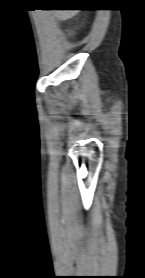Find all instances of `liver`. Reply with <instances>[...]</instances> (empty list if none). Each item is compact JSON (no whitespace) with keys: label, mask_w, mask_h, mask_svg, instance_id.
Masks as SVG:
<instances>
[{"label":"liver","mask_w":145,"mask_h":278,"mask_svg":"<svg viewBox=\"0 0 145 278\" xmlns=\"http://www.w3.org/2000/svg\"><path fill=\"white\" fill-rule=\"evenodd\" d=\"M78 12H79L78 10H56L54 16L59 21H65L77 15Z\"/></svg>","instance_id":"obj_1"}]
</instances>
